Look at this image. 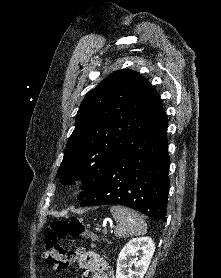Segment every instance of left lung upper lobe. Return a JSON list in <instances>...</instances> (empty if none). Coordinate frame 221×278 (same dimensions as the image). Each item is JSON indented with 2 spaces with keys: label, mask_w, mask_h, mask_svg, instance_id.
I'll return each mask as SVG.
<instances>
[{
  "label": "left lung upper lobe",
  "mask_w": 221,
  "mask_h": 278,
  "mask_svg": "<svg viewBox=\"0 0 221 278\" xmlns=\"http://www.w3.org/2000/svg\"><path fill=\"white\" fill-rule=\"evenodd\" d=\"M163 115L149 81L130 69L115 71L83 99L58 177L64 184L83 179V200L115 157Z\"/></svg>",
  "instance_id": "1"
}]
</instances>
